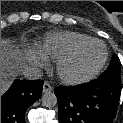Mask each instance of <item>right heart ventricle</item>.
Instances as JSON below:
<instances>
[{
	"label": "right heart ventricle",
	"mask_w": 123,
	"mask_h": 123,
	"mask_svg": "<svg viewBox=\"0 0 123 123\" xmlns=\"http://www.w3.org/2000/svg\"><path fill=\"white\" fill-rule=\"evenodd\" d=\"M91 39L89 36L73 31H57L48 33L41 41L36 43L34 51L46 59L57 60L75 45Z\"/></svg>",
	"instance_id": "right-heart-ventricle-1"
}]
</instances>
